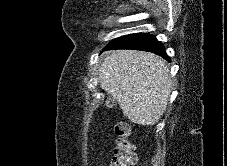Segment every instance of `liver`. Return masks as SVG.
Returning <instances> with one entry per match:
<instances>
[{"label": "liver", "instance_id": "6515ba94", "mask_svg": "<svg viewBox=\"0 0 227 166\" xmlns=\"http://www.w3.org/2000/svg\"><path fill=\"white\" fill-rule=\"evenodd\" d=\"M98 80L138 125L157 123L166 111L173 81L166 62L153 53L117 50L101 64Z\"/></svg>", "mask_w": 227, "mask_h": 166}]
</instances>
